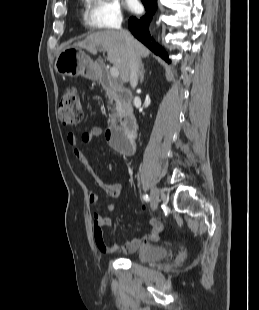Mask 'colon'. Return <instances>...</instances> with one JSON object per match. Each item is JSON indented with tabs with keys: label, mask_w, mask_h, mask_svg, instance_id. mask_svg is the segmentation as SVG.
Instances as JSON below:
<instances>
[{
	"label": "colon",
	"mask_w": 259,
	"mask_h": 310,
	"mask_svg": "<svg viewBox=\"0 0 259 310\" xmlns=\"http://www.w3.org/2000/svg\"><path fill=\"white\" fill-rule=\"evenodd\" d=\"M58 118L67 126H77L82 120V105L80 95L76 88H66L61 96L58 106ZM154 223L162 224L159 220Z\"/></svg>",
	"instance_id": "5ec220e1"
}]
</instances>
